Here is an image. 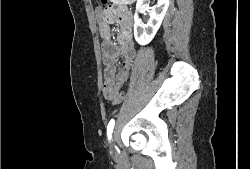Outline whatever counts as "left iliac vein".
Wrapping results in <instances>:
<instances>
[{
  "mask_svg": "<svg viewBox=\"0 0 250 169\" xmlns=\"http://www.w3.org/2000/svg\"><path fill=\"white\" fill-rule=\"evenodd\" d=\"M116 140H117V132L115 131V132L113 133V137H112V141H111V146H112V147L115 146Z\"/></svg>",
  "mask_w": 250,
  "mask_h": 169,
  "instance_id": "1",
  "label": "left iliac vein"
}]
</instances>
